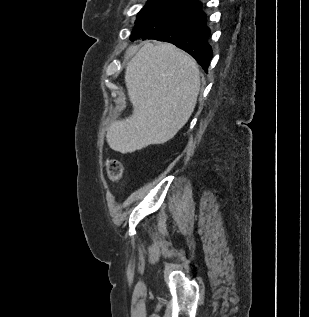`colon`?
Wrapping results in <instances>:
<instances>
[{
    "label": "colon",
    "instance_id": "5ec220e1",
    "mask_svg": "<svg viewBox=\"0 0 309 317\" xmlns=\"http://www.w3.org/2000/svg\"><path fill=\"white\" fill-rule=\"evenodd\" d=\"M107 172L111 180L118 181L122 177L123 169L119 162L111 160L107 163Z\"/></svg>",
    "mask_w": 309,
    "mask_h": 317
}]
</instances>
